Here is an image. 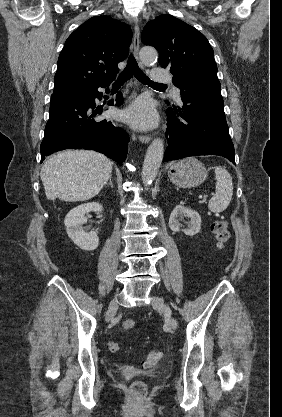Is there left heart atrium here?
<instances>
[{"label": "left heart atrium", "mask_w": 282, "mask_h": 417, "mask_svg": "<svg viewBox=\"0 0 282 417\" xmlns=\"http://www.w3.org/2000/svg\"><path fill=\"white\" fill-rule=\"evenodd\" d=\"M125 116L131 123L139 127H149L156 122V114L152 104L145 98L136 101Z\"/></svg>", "instance_id": "39dd6f15"}]
</instances>
